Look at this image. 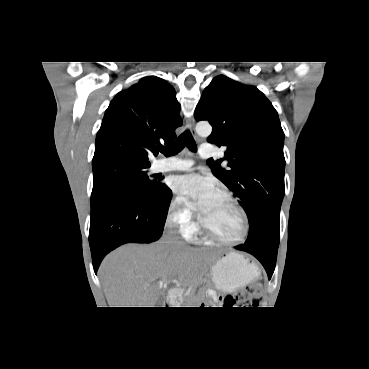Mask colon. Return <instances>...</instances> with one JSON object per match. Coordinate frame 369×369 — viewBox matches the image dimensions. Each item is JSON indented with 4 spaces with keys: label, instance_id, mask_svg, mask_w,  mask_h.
Segmentation results:
<instances>
[{
    "label": "colon",
    "instance_id": "5ec220e1",
    "mask_svg": "<svg viewBox=\"0 0 369 369\" xmlns=\"http://www.w3.org/2000/svg\"><path fill=\"white\" fill-rule=\"evenodd\" d=\"M262 292L263 284L257 283L241 290L236 295L217 296L212 293L211 300L218 301L224 307H255L260 303Z\"/></svg>",
    "mask_w": 369,
    "mask_h": 369
}]
</instances>
